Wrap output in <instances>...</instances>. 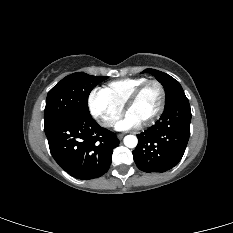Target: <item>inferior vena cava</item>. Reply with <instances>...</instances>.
Returning <instances> with one entry per match:
<instances>
[{"label":"inferior vena cava","instance_id":"inferior-vena-cava-1","mask_svg":"<svg viewBox=\"0 0 233 233\" xmlns=\"http://www.w3.org/2000/svg\"><path fill=\"white\" fill-rule=\"evenodd\" d=\"M105 126H112L113 125V122L112 121H106L104 123Z\"/></svg>","mask_w":233,"mask_h":233}]
</instances>
